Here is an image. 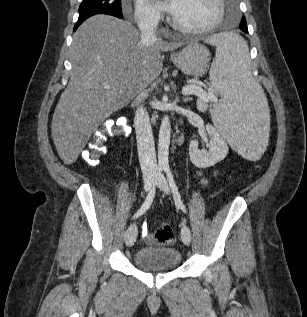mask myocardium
Listing matches in <instances>:
<instances>
[{
  "label": "myocardium",
  "instance_id": "1",
  "mask_svg": "<svg viewBox=\"0 0 307 317\" xmlns=\"http://www.w3.org/2000/svg\"><path fill=\"white\" fill-rule=\"evenodd\" d=\"M217 7H218V12L210 24L203 26V27H197V28H189L186 26L181 25L179 22L175 20V18L172 16L170 19V24L173 28L176 30L186 33V34H191V35H203L206 33L211 32L214 30L223 20L224 15H225V3L224 0H216Z\"/></svg>",
  "mask_w": 307,
  "mask_h": 317
}]
</instances>
